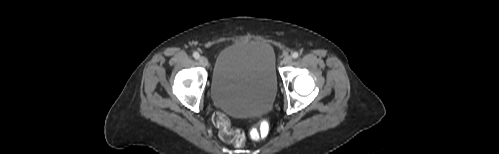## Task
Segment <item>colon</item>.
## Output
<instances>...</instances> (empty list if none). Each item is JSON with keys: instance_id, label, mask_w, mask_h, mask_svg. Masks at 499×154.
I'll use <instances>...</instances> for the list:
<instances>
[{"instance_id": "5ec220e1", "label": "colon", "mask_w": 499, "mask_h": 154, "mask_svg": "<svg viewBox=\"0 0 499 154\" xmlns=\"http://www.w3.org/2000/svg\"><path fill=\"white\" fill-rule=\"evenodd\" d=\"M212 121L216 127L220 129L221 138L228 143H232L237 147H241L245 144L247 136L246 134L237 128L231 126L229 118L222 112H215L212 116ZM268 133V126L266 124H261L257 129L250 133L252 138H263Z\"/></svg>"}]
</instances>
